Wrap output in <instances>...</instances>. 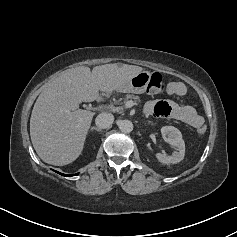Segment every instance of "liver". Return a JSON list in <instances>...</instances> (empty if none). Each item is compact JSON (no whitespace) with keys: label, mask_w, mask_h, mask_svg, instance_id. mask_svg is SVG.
Returning a JSON list of instances; mask_svg holds the SVG:
<instances>
[{"label":"liver","mask_w":237,"mask_h":237,"mask_svg":"<svg viewBox=\"0 0 237 237\" xmlns=\"http://www.w3.org/2000/svg\"><path fill=\"white\" fill-rule=\"evenodd\" d=\"M143 70L128 64L68 69L49 81L38 96L30 118V136L38 156L64 166L81 154L94 113L79 109L95 101L99 91L110 94Z\"/></svg>","instance_id":"liver-1"}]
</instances>
